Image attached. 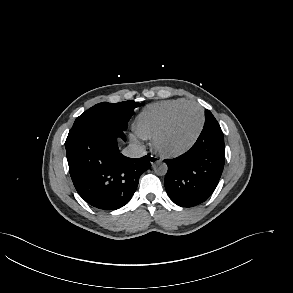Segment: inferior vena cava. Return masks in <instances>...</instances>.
Here are the masks:
<instances>
[{"label":"inferior vena cava","instance_id":"602c4592","mask_svg":"<svg viewBox=\"0 0 293 293\" xmlns=\"http://www.w3.org/2000/svg\"><path fill=\"white\" fill-rule=\"evenodd\" d=\"M123 154L130 158H140L146 154V150L140 143L130 144L123 150Z\"/></svg>","mask_w":293,"mask_h":293}]
</instances>
